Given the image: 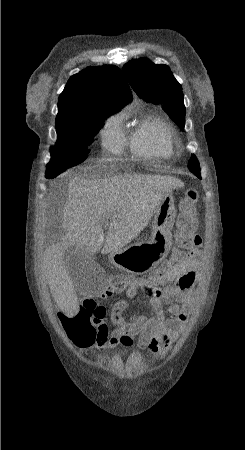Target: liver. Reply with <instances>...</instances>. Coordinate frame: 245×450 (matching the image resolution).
<instances>
[{"mask_svg":"<svg viewBox=\"0 0 245 450\" xmlns=\"http://www.w3.org/2000/svg\"><path fill=\"white\" fill-rule=\"evenodd\" d=\"M182 187L183 182L172 176H72L62 211L66 235L58 244L46 248L43 256L52 296L63 312L73 316L79 311L64 260L67 250L76 247L94 254L103 243V254L122 250L148 225L165 194ZM108 219L111 222L105 238L102 224Z\"/></svg>","mask_w":245,"mask_h":450,"instance_id":"obj_1","label":"liver"}]
</instances>
